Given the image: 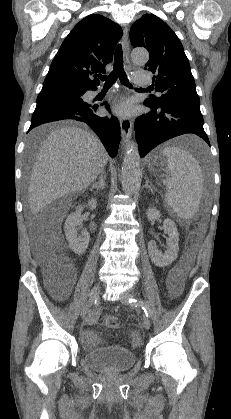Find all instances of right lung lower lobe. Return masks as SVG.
Wrapping results in <instances>:
<instances>
[{"mask_svg": "<svg viewBox=\"0 0 231 419\" xmlns=\"http://www.w3.org/2000/svg\"><path fill=\"white\" fill-rule=\"evenodd\" d=\"M88 89V90H94ZM86 90H84V93ZM83 93V94H84ZM82 96V95H81ZM98 105L81 101L52 100L39 102L32 116L29 131L42 123L62 119H74L87 123L97 134L111 157L118 151L120 125L116 118L108 119L96 115Z\"/></svg>", "mask_w": 231, "mask_h": 419, "instance_id": "98d812e1", "label": "right lung lower lobe"}]
</instances>
